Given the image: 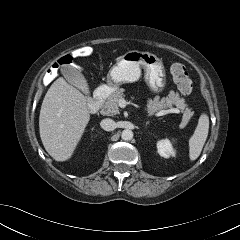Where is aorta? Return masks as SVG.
<instances>
[{
	"label": "aorta",
	"instance_id": "762f6f07",
	"mask_svg": "<svg viewBox=\"0 0 240 240\" xmlns=\"http://www.w3.org/2000/svg\"><path fill=\"white\" fill-rule=\"evenodd\" d=\"M121 138L124 140V141H129L133 138V132L129 129H125L122 131L121 133Z\"/></svg>",
	"mask_w": 240,
	"mask_h": 240
}]
</instances>
